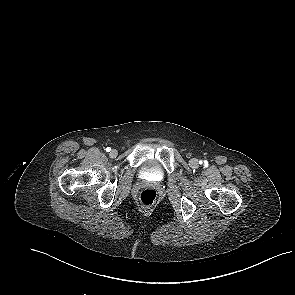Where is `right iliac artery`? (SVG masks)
Segmentation results:
<instances>
[{
    "label": "right iliac artery",
    "mask_w": 295,
    "mask_h": 295,
    "mask_svg": "<svg viewBox=\"0 0 295 295\" xmlns=\"http://www.w3.org/2000/svg\"><path fill=\"white\" fill-rule=\"evenodd\" d=\"M111 151V148L110 147H107L106 148V152H110Z\"/></svg>",
    "instance_id": "right-iliac-artery-1"
}]
</instances>
